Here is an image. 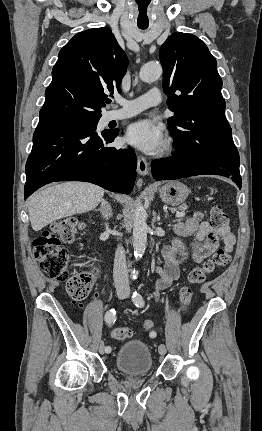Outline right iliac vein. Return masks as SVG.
Wrapping results in <instances>:
<instances>
[{
	"instance_id": "1",
	"label": "right iliac vein",
	"mask_w": 262,
	"mask_h": 431,
	"mask_svg": "<svg viewBox=\"0 0 262 431\" xmlns=\"http://www.w3.org/2000/svg\"><path fill=\"white\" fill-rule=\"evenodd\" d=\"M125 296H126V292L124 290H121L118 293V297L121 298V299L124 298ZM105 351H106V348H105L104 342H100V344H99V352H100V354H104Z\"/></svg>"
}]
</instances>
